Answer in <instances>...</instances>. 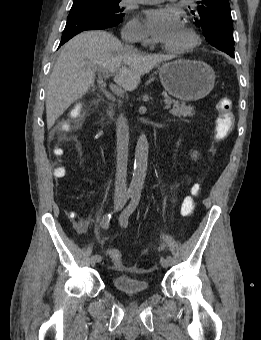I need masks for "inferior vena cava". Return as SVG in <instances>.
<instances>
[{"instance_id":"inferior-vena-cava-1","label":"inferior vena cava","mask_w":261,"mask_h":340,"mask_svg":"<svg viewBox=\"0 0 261 340\" xmlns=\"http://www.w3.org/2000/svg\"><path fill=\"white\" fill-rule=\"evenodd\" d=\"M122 39L127 43L126 48L132 49V45L128 43L132 40L123 34ZM117 135V166L115 175V198H125L127 194V160H128V144H129V126L127 119L121 114L116 123Z\"/></svg>"}]
</instances>
